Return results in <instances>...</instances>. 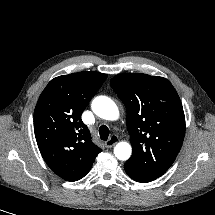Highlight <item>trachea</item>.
<instances>
[{"label":"trachea","instance_id":"trachea-1","mask_svg":"<svg viewBox=\"0 0 215 215\" xmlns=\"http://www.w3.org/2000/svg\"><path fill=\"white\" fill-rule=\"evenodd\" d=\"M99 134H100V138L104 141H106L109 137V129L107 126L105 125H102L100 128H99Z\"/></svg>","mask_w":215,"mask_h":215}]
</instances>
